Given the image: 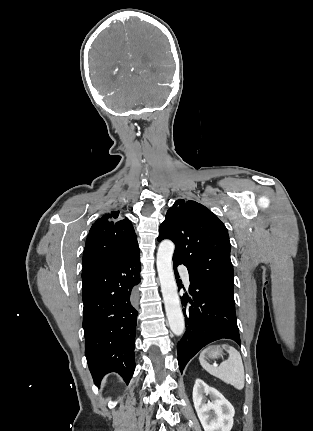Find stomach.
<instances>
[{
    "label": "stomach",
    "mask_w": 313,
    "mask_h": 431,
    "mask_svg": "<svg viewBox=\"0 0 313 431\" xmlns=\"http://www.w3.org/2000/svg\"><path fill=\"white\" fill-rule=\"evenodd\" d=\"M223 355V351L220 348L217 349H213V355L210 356V358H218V357H222Z\"/></svg>",
    "instance_id": "stomach-1"
}]
</instances>
